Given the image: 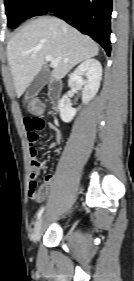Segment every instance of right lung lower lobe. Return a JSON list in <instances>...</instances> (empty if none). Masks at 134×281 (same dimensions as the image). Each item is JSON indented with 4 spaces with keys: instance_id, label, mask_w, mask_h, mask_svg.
<instances>
[{
    "instance_id": "obj_1",
    "label": "right lung lower lobe",
    "mask_w": 134,
    "mask_h": 281,
    "mask_svg": "<svg viewBox=\"0 0 134 281\" xmlns=\"http://www.w3.org/2000/svg\"><path fill=\"white\" fill-rule=\"evenodd\" d=\"M51 12L90 35L110 55L112 0H38L30 17Z\"/></svg>"
}]
</instances>
